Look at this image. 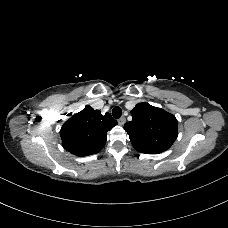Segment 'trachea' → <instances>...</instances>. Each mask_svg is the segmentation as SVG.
I'll return each instance as SVG.
<instances>
[{
	"label": "trachea",
	"mask_w": 228,
	"mask_h": 228,
	"mask_svg": "<svg viewBox=\"0 0 228 228\" xmlns=\"http://www.w3.org/2000/svg\"><path fill=\"white\" fill-rule=\"evenodd\" d=\"M112 115H113V117L116 118V119L120 118L121 115H122V110H121V108L118 107V106L114 107L113 110H112Z\"/></svg>",
	"instance_id": "trachea-1"
}]
</instances>
